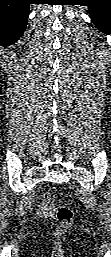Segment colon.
Returning a JSON list of instances; mask_svg holds the SVG:
<instances>
[{
  "mask_svg": "<svg viewBox=\"0 0 111 257\" xmlns=\"http://www.w3.org/2000/svg\"><path fill=\"white\" fill-rule=\"evenodd\" d=\"M44 206L55 214L59 221V227L56 230V235L63 234L72 224L74 220V214L68 207L57 204L55 196L51 192H45L43 194Z\"/></svg>",
  "mask_w": 111,
  "mask_h": 257,
  "instance_id": "1",
  "label": "colon"
}]
</instances>
